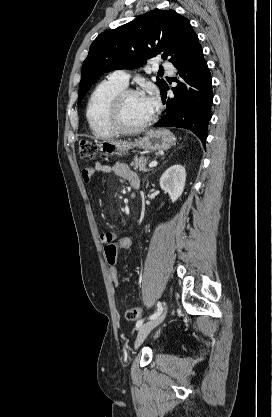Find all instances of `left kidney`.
<instances>
[{"mask_svg": "<svg viewBox=\"0 0 272 417\" xmlns=\"http://www.w3.org/2000/svg\"><path fill=\"white\" fill-rule=\"evenodd\" d=\"M186 181V171L182 165L169 167L160 178V187L169 194L175 202L183 193Z\"/></svg>", "mask_w": 272, "mask_h": 417, "instance_id": "left-kidney-1", "label": "left kidney"}]
</instances>
